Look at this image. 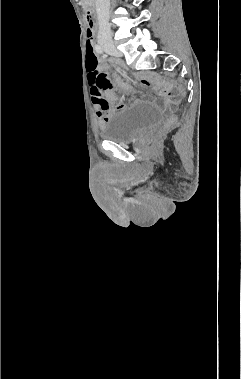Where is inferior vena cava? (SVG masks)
Masks as SVG:
<instances>
[{"label": "inferior vena cava", "instance_id": "inferior-vena-cava-1", "mask_svg": "<svg viewBox=\"0 0 241 379\" xmlns=\"http://www.w3.org/2000/svg\"><path fill=\"white\" fill-rule=\"evenodd\" d=\"M96 13L98 19V36L103 39L111 40V31L108 23L110 0H96Z\"/></svg>", "mask_w": 241, "mask_h": 379}]
</instances>
